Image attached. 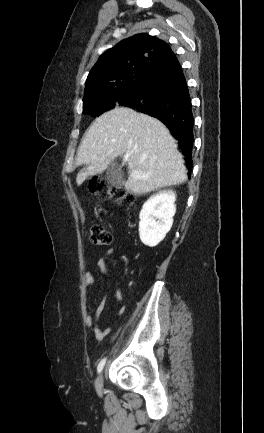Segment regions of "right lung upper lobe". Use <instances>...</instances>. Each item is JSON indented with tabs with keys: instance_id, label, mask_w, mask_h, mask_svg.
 Segmentation results:
<instances>
[{
	"instance_id": "right-lung-upper-lobe-1",
	"label": "right lung upper lobe",
	"mask_w": 264,
	"mask_h": 433,
	"mask_svg": "<svg viewBox=\"0 0 264 433\" xmlns=\"http://www.w3.org/2000/svg\"><path fill=\"white\" fill-rule=\"evenodd\" d=\"M173 55L170 47L154 36L138 34L125 39L102 54L91 69L84 99L142 85L150 74Z\"/></svg>"
}]
</instances>
